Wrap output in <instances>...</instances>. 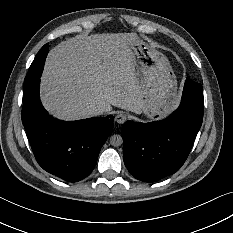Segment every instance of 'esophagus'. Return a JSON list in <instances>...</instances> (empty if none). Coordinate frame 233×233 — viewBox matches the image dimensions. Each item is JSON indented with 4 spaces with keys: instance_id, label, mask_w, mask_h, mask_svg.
<instances>
[{
    "instance_id": "1",
    "label": "esophagus",
    "mask_w": 233,
    "mask_h": 233,
    "mask_svg": "<svg viewBox=\"0 0 233 233\" xmlns=\"http://www.w3.org/2000/svg\"><path fill=\"white\" fill-rule=\"evenodd\" d=\"M126 120H127V115L124 113H120L115 117V121L119 124H123Z\"/></svg>"
}]
</instances>
